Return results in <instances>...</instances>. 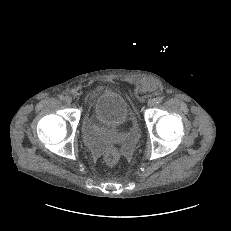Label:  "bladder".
<instances>
[{
  "mask_svg": "<svg viewBox=\"0 0 231 231\" xmlns=\"http://www.w3.org/2000/svg\"><path fill=\"white\" fill-rule=\"evenodd\" d=\"M92 113L99 123L118 128L127 121L129 106L122 94L107 90L95 99Z\"/></svg>",
  "mask_w": 231,
  "mask_h": 231,
  "instance_id": "bladder-1",
  "label": "bladder"
}]
</instances>
